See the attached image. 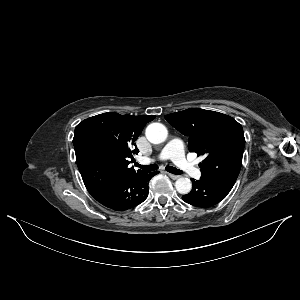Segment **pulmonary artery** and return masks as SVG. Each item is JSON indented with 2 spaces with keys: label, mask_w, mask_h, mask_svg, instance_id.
I'll use <instances>...</instances> for the list:
<instances>
[{
  "label": "pulmonary artery",
  "mask_w": 300,
  "mask_h": 300,
  "mask_svg": "<svg viewBox=\"0 0 300 300\" xmlns=\"http://www.w3.org/2000/svg\"><path fill=\"white\" fill-rule=\"evenodd\" d=\"M160 159H171L181 170L192 177H199V169L190 161L184 154V145L178 139L171 140L163 149ZM152 158H140L141 164H149L153 161Z\"/></svg>",
  "instance_id": "e3ab8cb5"
}]
</instances>
